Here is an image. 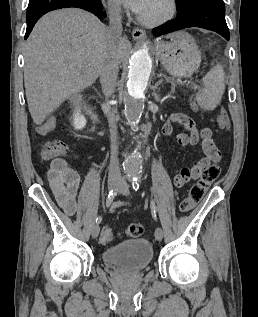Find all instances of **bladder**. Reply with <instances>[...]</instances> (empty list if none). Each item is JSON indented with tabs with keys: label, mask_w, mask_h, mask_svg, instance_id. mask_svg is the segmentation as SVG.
<instances>
[{
	"label": "bladder",
	"mask_w": 258,
	"mask_h": 317,
	"mask_svg": "<svg viewBox=\"0 0 258 317\" xmlns=\"http://www.w3.org/2000/svg\"><path fill=\"white\" fill-rule=\"evenodd\" d=\"M152 257V246L145 239L128 240L107 248L102 253L105 263L133 270L145 268Z\"/></svg>",
	"instance_id": "obj_1"
}]
</instances>
